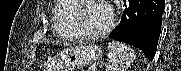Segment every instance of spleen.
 <instances>
[{
  "mask_svg": "<svg viewBox=\"0 0 181 71\" xmlns=\"http://www.w3.org/2000/svg\"><path fill=\"white\" fill-rule=\"evenodd\" d=\"M108 50L109 60L106 65V71H127L136 59L134 50L120 42H109Z\"/></svg>",
  "mask_w": 181,
  "mask_h": 71,
  "instance_id": "spleen-1",
  "label": "spleen"
}]
</instances>
